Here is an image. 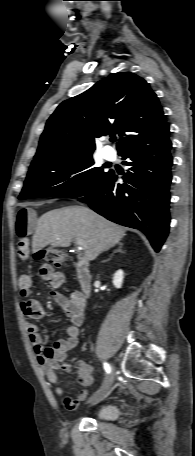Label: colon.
Wrapping results in <instances>:
<instances>
[{"label":"colon","mask_w":195,"mask_h":456,"mask_svg":"<svg viewBox=\"0 0 195 456\" xmlns=\"http://www.w3.org/2000/svg\"><path fill=\"white\" fill-rule=\"evenodd\" d=\"M36 256L37 259L46 262L48 265L54 268L63 267L68 260V253L65 250L59 248H47L41 250L36 254Z\"/></svg>","instance_id":"5ec220e1"}]
</instances>
